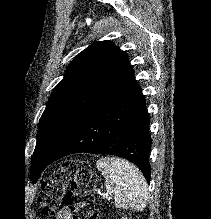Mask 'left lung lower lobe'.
Listing matches in <instances>:
<instances>
[{"label": "left lung lower lobe", "mask_w": 211, "mask_h": 219, "mask_svg": "<svg viewBox=\"0 0 211 219\" xmlns=\"http://www.w3.org/2000/svg\"><path fill=\"white\" fill-rule=\"evenodd\" d=\"M149 123L145 97L130 67L83 115L59 152L50 157L38 150L32 159L43 171L47 165L71 154L116 155L137 165L149 183Z\"/></svg>", "instance_id": "left-lung-lower-lobe-1"}]
</instances>
